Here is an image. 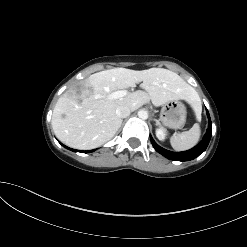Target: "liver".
I'll list each match as a JSON object with an SVG mask.
<instances>
[{
  "label": "liver",
  "mask_w": 247,
  "mask_h": 247,
  "mask_svg": "<svg viewBox=\"0 0 247 247\" xmlns=\"http://www.w3.org/2000/svg\"><path fill=\"white\" fill-rule=\"evenodd\" d=\"M142 83L144 90L112 99L111 93ZM173 100L199 101L196 91L177 73L163 68L135 71L113 68L90 75L81 83L80 94L67 90L57 101L52 127L57 138L76 149H93L114 137L122 120L119 106L135 111L150 101L156 107Z\"/></svg>",
  "instance_id": "obj_1"
}]
</instances>
